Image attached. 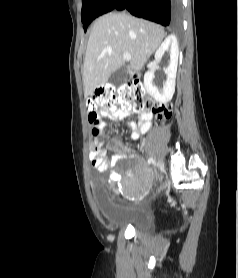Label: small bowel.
<instances>
[{"instance_id": "obj_1", "label": "small bowel", "mask_w": 238, "mask_h": 278, "mask_svg": "<svg viewBox=\"0 0 238 278\" xmlns=\"http://www.w3.org/2000/svg\"><path fill=\"white\" fill-rule=\"evenodd\" d=\"M102 115L113 120H124L130 116V112L123 109H116L115 111L111 112L104 111L102 112ZM151 118L152 116L150 113H142L140 114L137 121L128 122V126L131 129L132 139L137 140L150 130ZM106 124L107 123L103 121L97 126L98 135L94 136L93 146L90 153L92 165L99 172H105L110 167L114 166L119 159L128 156L132 151L126 146V144L118 140H112L110 143V147L116 150L118 153L113 155L111 158L105 157V153L102 149V139L105 138L104 128Z\"/></svg>"}]
</instances>
